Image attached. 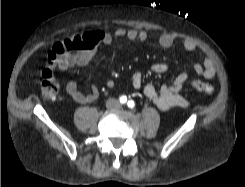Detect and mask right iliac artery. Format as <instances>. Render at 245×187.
Instances as JSON below:
<instances>
[{
    "mask_svg": "<svg viewBox=\"0 0 245 187\" xmlns=\"http://www.w3.org/2000/svg\"><path fill=\"white\" fill-rule=\"evenodd\" d=\"M119 101H120V103L124 104V103L127 102V97L123 95V96H121V97L119 98Z\"/></svg>",
    "mask_w": 245,
    "mask_h": 187,
    "instance_id": "1",
    "label": "right iliac artery"
}]
</instances>
